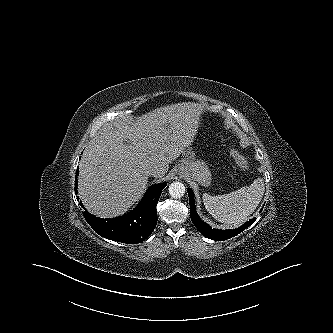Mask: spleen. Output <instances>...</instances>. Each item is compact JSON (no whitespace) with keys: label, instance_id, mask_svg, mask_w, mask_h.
I'll list each match as a JSON object with an SVG mask.
<instances>
[{"label":"spleen","instance_id":"1","mask_svg":"<svg viewBox=\"0 0 333 333\" xmlns=\"http://www.w3.org/2000/svg\"><path fill=\"white\" fill-rule=\"evenodd\" d=\"M264 191L263 179L257 178L250 186L229 194L211 196L204 193L203 202L214 219L224 224L238 226L256 210Z\"/></svg>","mask_w":333,"mask_h":333}]
</instances>
